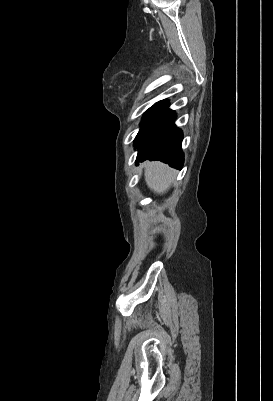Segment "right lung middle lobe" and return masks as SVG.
I'll use <instances>...</instances> for the list:
<instances>
[{
    "mask_svg": "<svg viewBox=\"0 0 273 401\" xmlns=\"http://www.w3.org/2000/svg\"><path fill=\"white\" fill-rule=\"evenodd\" d=\"M167 105V101H159L156 104H154L151 108H149L146 113L143 116L142 122H141V127L149 120L151 119L156 113H158L162 108H164Z\"/></svg>",
    "mask_w": 273,
    "mask_h": 401,
    "instance_id": "dd1d6c3e",
    "label": "right lung middle lobe"
}]
</instances>
